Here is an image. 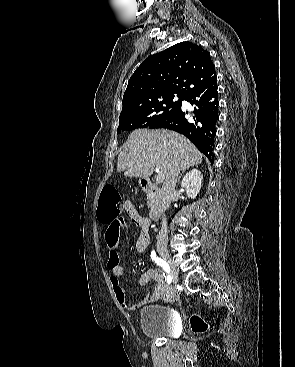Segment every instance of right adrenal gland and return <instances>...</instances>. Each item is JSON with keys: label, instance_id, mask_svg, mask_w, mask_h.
Returning a JSON list of instances; mask_svg holds the SVG:
<instances>
[{"label": "right adrenal gland", "instance_id": "obj_1", "mask_svg": "<svg viewBox=\"0 0 295 367\" xmlns=\"http://www.w3.org/2000/svg\"><path fill=\"white\" fill-rule=\"evenodd\" d=\"M185 170H186V169L182 170V174L185 172ZM182 174L179 176V178H178V182H180V179H181V177H182Z\"/></svg>", "mask_w": 295, "mask_h": 367}]
</instances>
